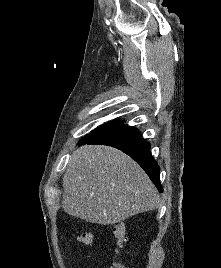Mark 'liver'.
Instances as JSON below:
<instances>
[{
	"label": "liver",
	"instance_id": "liver-1",
	"mask_svg": "<svg viewBox=\"0 0 221 268\" xmlns=\"http://www.w3.org/2000/svg\"><path fill=\"white\" fill-rule=\"evenodd\" d=\"M63 207L74 217L115 224L160 206L154 184L125 153L103 145H85L70 158L63 176Z\"/></svg>",
	"mask_w": 221,
	"mask_h": 268
}]
</instances>
